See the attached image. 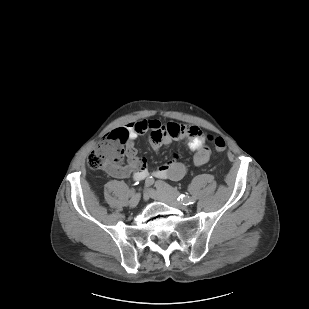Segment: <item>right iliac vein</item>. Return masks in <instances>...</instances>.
Returning <instances> with one entry per match:
<instances>
[{"mask_svg":"<svg viewBox=\"0 0 309 309\" xmlns=\"http://www.w3.org/2000/svg\"><path fill=\"white\" fill-rule=\"evenodd\" d=\"M140 198H141V195L139 193L134 194L129 201V206L131 208L136 207L140 201Z\"/></svg>","mask_w":309,"mask_h":309,"instance_id":"right-iliac-vein-1","label":"right iliac vein"}]
</instances>
